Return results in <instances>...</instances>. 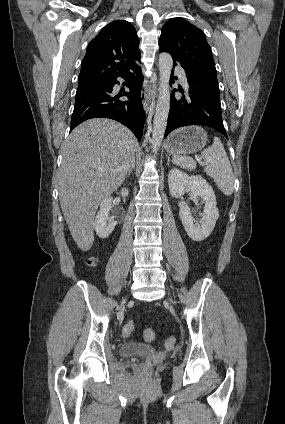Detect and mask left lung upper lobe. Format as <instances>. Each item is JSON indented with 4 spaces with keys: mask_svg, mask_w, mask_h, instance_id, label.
<instances>
[{
    "mask_svg": "<svg viewBox=\"0 0 285 424\" xmlns=\"http://www.w3.org/2000/svg\"><path fill=\"white\" fill-rule=\"evenodd\" d=\"M161 51L171 54L184 69L198 66L215 68L213 55L205 34L183 18L168 20L161 31Z\"/></svg>",
    "mask_w": 285,
    "mask_h": 424,
    "instance_id": "left-lung-upper-lobe-1",
    "label": "left lung upper lobe"
}]
</instances>
